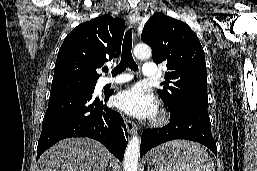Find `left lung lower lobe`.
Instances as JSON below:
<instances>
[{
	"label": "left lung lower lobe",
	"instance_id": "left-lung-lower-lobe-1",
	"mask_svg": "<svg viewBox=\"0 0 257 171\" xmlns=\"http://www.w3.org/2000/svg\"><path fill=\"white\" fill-rule=\"evenodd\" d=\"M171 120L167 126L146 129L141 137L140 157L151 148L174 139L199 142L217 155L216 142L211 134V123L207 107L182 105L169 109Z\"/></svg>",
	"mask_w": 257,
	"mask_h": 171
}]
</instances>
